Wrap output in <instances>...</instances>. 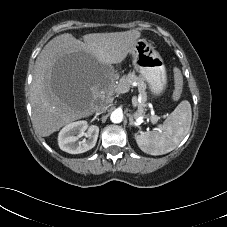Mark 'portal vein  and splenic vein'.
I'll return each mask as SVG.
<instances>
[{
    "label": "portal vein and splenic vein",
    "mask_w": 227,
    "mask_h": 227,
    "mask_svg": "<svg viewBox=\"0 0 227 227\" xmlns=\"http://www.w3.org/2000/svg\"><path fill=\"white\" fill-rule=\"evenodd\" d=\"M116 90H117V92L119 94L120 93H127L129 91V88L118 86ZM138 101L139 100L137 99V97L133 96V98H132V105H133L134 108L137 107ZM144 118H145L144 115H139L138 118H137V122L138 123H142L144 121Z\"/></svg>",
    "instance_id": "1"
}]
</instances>
